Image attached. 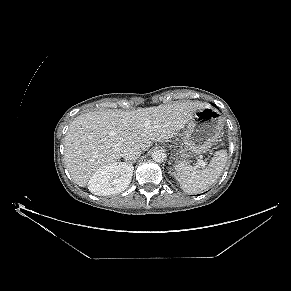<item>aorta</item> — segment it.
<instances>
[{
    "label": "aorta",
    "mask_w": 291,
    "mask_h": 291,
    "mask_svg": "<svg viewBox=\"0 0 291 291\" xmlns=\"http://www.w3.org/2000/svg\"><path fill=\"white\" fill-rule=\"evenodd\" d=\"M165 158H166V154L162 150H155L152 153V159L157 163L163 162Z\"/></svg>",
    "instance_id": "762f6f07"
}]
</instances>
